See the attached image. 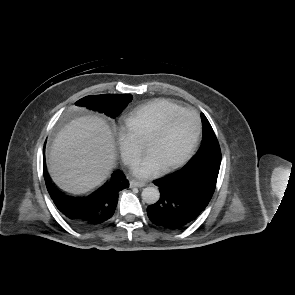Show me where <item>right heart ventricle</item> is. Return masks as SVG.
<instances>
[{
	"label": "right heart ventricle",
	"mask_w": 295,
	"mask_h": 295,
	"mask_svg": "<svg viewBox=\"0 0 295 295\" xmlns=\"http://www.w3.org/2000/svg\"><path fill=\"white\" fill-rule=\"evenodd\" d=\"M180 109L182 107L171 100L157 99L131 111L124 122L138 142H143L169 114Z\"/></svg>",
	"instance_id": "right-heart-ventricle-1"
}]
</instances>
